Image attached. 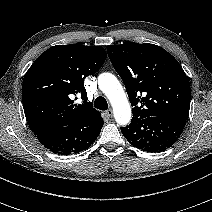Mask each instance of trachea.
<instances>
[{
	"label": "trachea",
	"instance_id": "trachea-1",
	"mask_svg": "<svg viewBox=\"0 0 212 212\" xmlns=\"http://www.w3.org/2000/svg\"><path fill=\"white\" fill-rule=\"evenodd\" d=\"M94 106H95V108H97L99 110H107L108 103L104 97L99 96L96 98V100L94 102Z\"/></svg>",
	"mask_w": 212,
	"mask_h": 212
}]
</instances>
